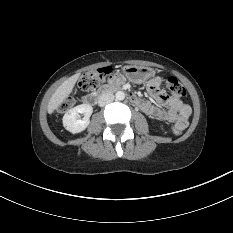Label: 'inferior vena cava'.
I'll return each instance as SVG.
<instances>
[{"label":"inferior vena cava","instance_id":"1","mask_svg":"<svg viewBox=\"0 0 233 233\" xmlns=\"http://www.w3.org/2000/svg\"><path fill=\"white\" fill-rule=\"evenodd\" d=\"M114 101V95L112 93H104L98 99V105L103 107Z\"/></svg>","mask_w":233,"mask_h":233}]
</instances>
